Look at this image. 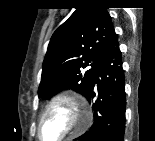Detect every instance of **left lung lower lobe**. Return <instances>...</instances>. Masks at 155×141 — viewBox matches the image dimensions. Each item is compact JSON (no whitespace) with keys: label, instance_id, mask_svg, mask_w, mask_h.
Returning <instances> with one entry per match:
<instances>
[{"label":"left lung lower lobe","instance_id":"obj_1","mask_svg":"<svg viewBox=\"0 0 155 141\" xmlns=\"http://www.w3.org/2000/svg\"><path fill=\"white\" fill-rule=\"evenodd\" d=\"M125 96L122 57L115 35L99 61L92 85L85 96L92 102L93 126L76 140L124 141ZM95 97L97 99L93 100Z\"/></svg>","mask_w":155,"mask_h":141}]
</instances>
